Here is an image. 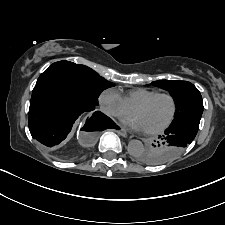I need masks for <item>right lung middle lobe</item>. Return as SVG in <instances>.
I'll return each instance as SVG.
<instances>
[{
  "label": "right lung middle lobe",
  "mask_w": 225,
  "mask_h": 225,
  "mask_svg": "<svg viewBox=\"0 0 225 225\" xmlns=\"http://www.w3.org/2000/svg\"><path fill=\"white\" fill-rule=\"evenodd\" d=\"M43 74L58 75L69 80L95 105H98V97L101 92L114 86L91 68L69 61L55 62Z\"/></svg>",
  "instance_id": "right-lung-middle-lobe-1"
}]
</instances>
